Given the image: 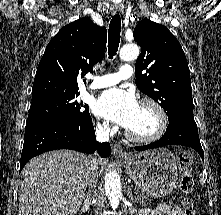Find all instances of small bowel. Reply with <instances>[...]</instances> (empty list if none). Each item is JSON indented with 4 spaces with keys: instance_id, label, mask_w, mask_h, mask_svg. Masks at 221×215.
Masks as SVG:
<instances>
[{
    "instance_id": "c3829d8e",
    "label": "small bowel",
    "mask_w": 221,
    "mask_h": 215,
    "mask_svg": "<svg viewBox=\"0 0 221 215\" xmlns=\"http://www.w3.org/2000/svg\"><path fill=\"white\" fill-rule=\"evenodd\" d=\"M139 215H185L184 212L178 208H170L166 205H160L155 209H142Z\"/></svg>"
}]
</instances>
